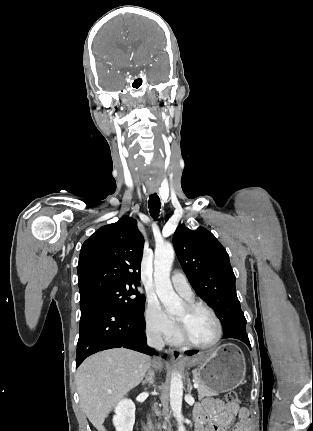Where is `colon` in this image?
I'll list each match as a JSON object with an SVG mask.
<instances>
[{"label":"colon","mask_w":313,"mask_h":431,"mask_svg":"<svg viewBox=\"0 0 313 431\" xmlns=\"http://www.w3.org/2000/svg\"><path fill=\"white\" fill-rule=\"evenodd\" d=\"M225 400L230 405L238 404V402H239L238 394L235 391H228L225 394Z\"/></svg>","instance_id":"5ec220e1"}]
</instances>
